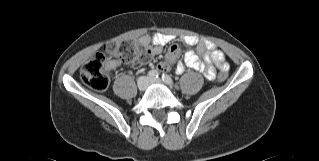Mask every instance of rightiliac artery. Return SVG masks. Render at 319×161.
Wrapping results in <instances>:
<instances>
[{
	"instance_id": "82829eb1",
	"label": "right iliac artery",
	"mask_w": 319,
	"mask_h": 161,
	"mask_svg": "<svg viewBox=\"0 0 319 161\" xmlns=\"http://www.w3.org/2000/svg\"><path fill=\"white\" fill-rule=\"evenodd\" d=\"M147 75L151 79H156L159 76V72L157 70H150Z\"/></svg>"
}]
</instances>
